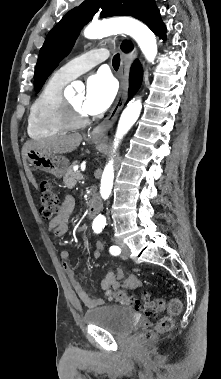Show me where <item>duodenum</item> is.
<instances>
[{
  "mask_svg": "<svg viewBox=\"0 0 221 379\" xmlns=\"http://www.w3.org/2000/svg\"><path fill=\"white\" fill-rule=\"evenodd\" d=\"M99 208H100L99 198L96 195H93L89 203V210H88L89 216L93 217L99 211Z\"/></svg>",
  "mask_w": 221,
  "mask_h": 379,
  "instance_id": "duodenum-1",
  "label": "duodenum"
}]
</instances>
